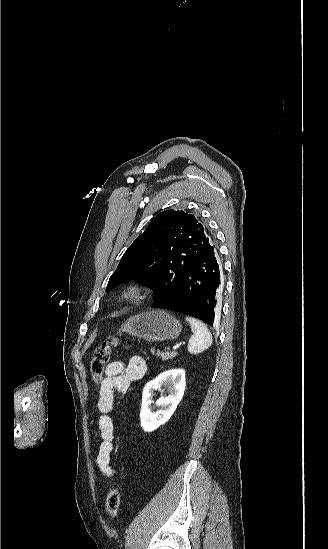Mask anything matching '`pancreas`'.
I'll return each instance as SVG.
<instances>
[{
    "instance_id": "1",
    "label": "pancreas",
    "mask_w": 328,
    "mask_h": 549,
    "mask_svg": "<svg viewBox=\"0 0 328 549\" xmlns=\"http://www.w3.org/2000/svg\"><path fill=\"white\" fill-rule=\"evenodd\" d=\"M154 353V351H152ZM157 357H161L162 361H169V359H174V357H177L178 353L176 351H166V353H161L159 349H157L156 353Z\"/></svg>"
}]
</instances>
